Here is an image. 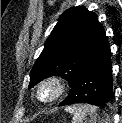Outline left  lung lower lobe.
Here are the masks:
<instances>
[{"instance_id":"1","label":"left lung lower lobe","mask_w":122,"mask_h":123,"mask_svg":"<svg viewBox=\"0 0 122 123\" xmlns=\"http://www.w3.org/2000/svg\"><path fill=\"white\" fill-rule=\"evenodd\" d=\"M59 106L88 103L105 106L113 98L111 51L107 42L81 69Z\"/></svg>"}]
</instances>
